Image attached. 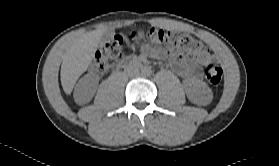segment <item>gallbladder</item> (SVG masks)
I'll return each mask as SVG.
<instances>
[{"label":"gallbladder","mask_w":279,"mask_h":166,"mask_svg":"<svg viewBox=\"0 0 279 166\" xmlns=\"http://www.w3.org/2000/svg\"><path fill=\"white\" fill-rule=\"evenodd\" d=\"M113 35V32L108 30V31H105L101 37V42H106L108 41Z\"/></svg>","instance_id":"1"}]
</instances>
